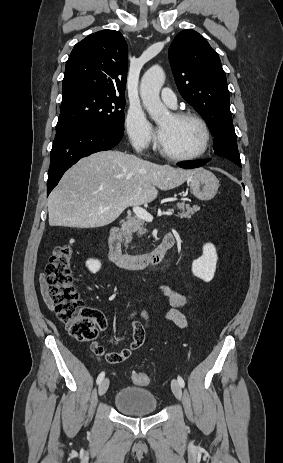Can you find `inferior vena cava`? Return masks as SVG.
<instances>
[{
  "label": "inferior vena cava",
  "mask_w": 283,
  "mask_h": 463,
  "mask_svg": "<svg viewBox=\"0 0 283 463\" xmlns=\"http://www.w3.org/2000/svg\"><path fill=\"white\" fill-rule=\"evenodd\" d=\"M134 148L136 149L137 152H140L141 151V145H139L138 143H134L133 144Z\"/></svg>",
  "instance_id": "602c4592"
}]
</instances>
